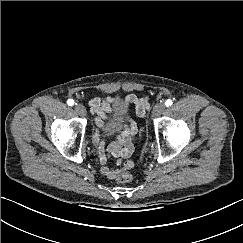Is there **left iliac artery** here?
<instances>
[{"label": "left iliac artery", "mask_w": 243, "mask_h": 243, "mask_svg": "<svg viewBox=\"0 0 243 243\" xmlns=\"http://www.w3.org/2000/svg\"><path fill=\"white\" fill-rule=\"evenodd\" d=\"M172 103H173L172 100L168 99V100H166L165 105H166L167 107H169V106L172 105Z\"/></svg>", "instance_id": "44dca946"}]
</instances>
